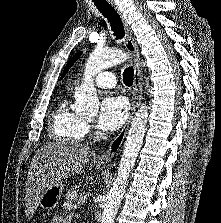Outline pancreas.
Here are the masks:
<instances>
[{
    "label": "pancreas",
    "instance_id": "1",
    "mask_svg": "<svg viewBox=\"0 0 221 223\" xmlns=\"http://www.w3.org/2000/svg\"><path fill=\"white\" fill-rule=\"evenodd\" d=\"M74 190H76V187H72L67 193L66 202L63 204V208L65 210H69V211L75 210L78 206L76 204L78 199L73 196ZM81 197H80V199H81Z\"/></svg>",
    "mask_w": 221,
    "mask_h": 223
}]
</instances>
